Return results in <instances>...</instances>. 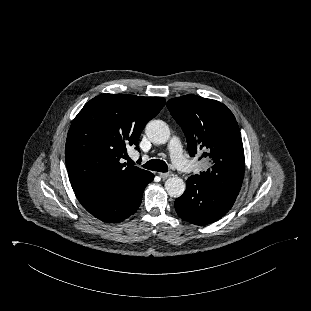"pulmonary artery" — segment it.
Returning a JSON list of instances; mask_svg holds the SVG:
<instances>
[{"label":"pulmonary artery","mask_w":311,"mask_h":311,"mask_svg":"<svg viewBox=\"0 0 311 311\" xmlns=\"http://www.w3.org/2000/svg\"><path fill=\"white\" fill-rule=\"evenodd\" d=\"M168 149L174 165L179 170L184 172H189L192 170V164L185 158L181 142L178 137L174 136L171 138Z\"/></svg>","instance_id":"e3ab8cb5"}]
</instances>
